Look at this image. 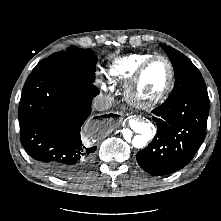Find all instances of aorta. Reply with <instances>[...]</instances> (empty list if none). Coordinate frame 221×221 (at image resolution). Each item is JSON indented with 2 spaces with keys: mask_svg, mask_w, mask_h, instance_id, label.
Segmentation results:
<instances>
[{
  "mask_svg": "<svg viewBox=\"0 0 221 221\" xmlns=\"http://www.w3.org/2000/svg\"><path fill=\"white\" fill-rule=\"evenodd\" d=\"M130 128L123 130V139L135 148H143L152 137L151 124L142 118H133Z\"/></svg>",
  "mask_w": 221,
  "mask_h": 221,
  "instance_id": "762f6f07",
  "label": "aorta"
}]
</instances>
